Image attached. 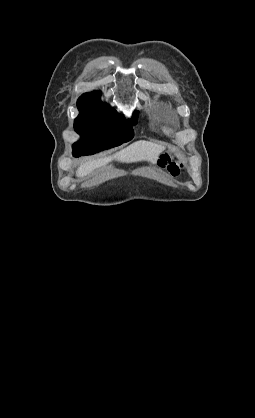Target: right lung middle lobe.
<instances>
[{"label":"right lung middle lobe","mask_w":255,"mask_h":418,"mask_svg":"<svg viewBox=\"0 0 255 418\" xmlns=\"http://www.w3.org/2000/svg\"><path fill=\"white\" fill-rule=\"evenodd\" d=\"M99 94L82 95L77 106L79 115L74 121V129L86 138L87 147L75 143L74 156L94 154L119 146L133 137L131 124L114 109L101 102ZM138 113L134 112L132 124L137 123Z\"/></svg>","instance_id":"right-lung-middle-lobe-1"}]
</instances>
